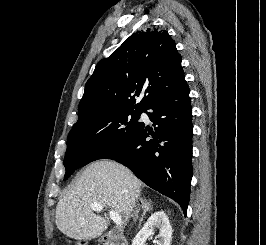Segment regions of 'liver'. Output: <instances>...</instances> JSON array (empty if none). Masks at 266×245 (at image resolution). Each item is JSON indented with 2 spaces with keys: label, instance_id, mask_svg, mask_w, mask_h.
Masks as SVG:
<instances>
[{
  "label": "liver",
  "instance_id": "obj_1",
  "mask_svg": "<svg viewBox=\"0 0 266 245\" xmlns=\"http://www.w3.org/2000/svg\"><path fill=\"white\" fill-rule=\"evenodd\" d=\"M143 183L127 167L101 159L91 163L81 177L69 187L56 207V225L70 239H96L106 231L110 221L95 215L92 203H100L102 211L131 215Z\"/></svg>",
  "mask_w": 266,
  "mask_h": 245
}]
</instances>
